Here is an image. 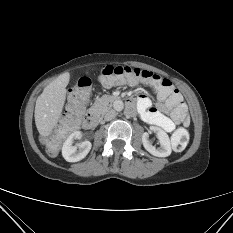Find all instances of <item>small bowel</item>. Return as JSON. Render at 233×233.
<instances>
[{
  "mask_svg": "<svg viewBox=\"0 0 233 233\" xmlns=\"http://www.w3.org/2000/svg\"><path fill=\"white\" fill-rule=\"evenodd\" d=\"M159 100V103L153 107L146 95H139L137 97L138 112L147 123L155 125L166 132H172L176 127V122L173 117H170V115L172 116V107L168 102L162 99Z\"/></svg>",
  "mask_w": 233,
  "mask_h": 233,
  "instance_id": "1",
  "label": "small bowel"
}]
</instances>
